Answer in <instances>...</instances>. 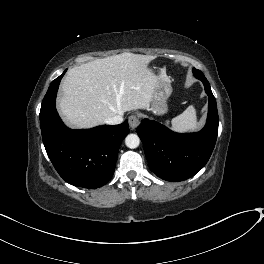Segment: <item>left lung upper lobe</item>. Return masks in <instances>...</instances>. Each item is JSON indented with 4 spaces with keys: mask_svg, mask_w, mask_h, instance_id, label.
<instances>
[{
    "mask_svg": "<svg viewBox=\"0 0 264 264\" xmlns=\"http://www.w3.org/2000/svg\"><path fill=\"white\" fill-rule=\"evenodd\" d=\"M193 73L194 75H203V73L200 70H197L195 68H193Z\"/></svg>",
    "mask_w": 264,
    "mask_h": 264,
    "instance_id": "left-lung-upper-lobe-1",
    "label": "left lung upper lobe"
}]
</instances>
